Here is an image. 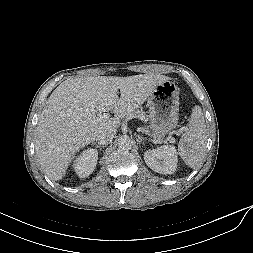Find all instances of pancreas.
Returning <instances> with one entry per match:
<instances>
[{"label":"pancreas","mask_w":253,"mask_h":253,"mask_svg":"<svg viewBox=\"0 0 253 253\" xmlns=\"http://www.w3.org/2000/svg\"><path fill=\"white\" fill-rule=\"evenodd\" d=\"M138 115H141V114H138L137 112H135L134 116L137 117ZM144 131L145 132H149V130L147 128H144ZM152 136L156 137L157 135L152 133ZM157 138V137H156Z\"/></svg>","instance_id":"1"}]
</instances>
